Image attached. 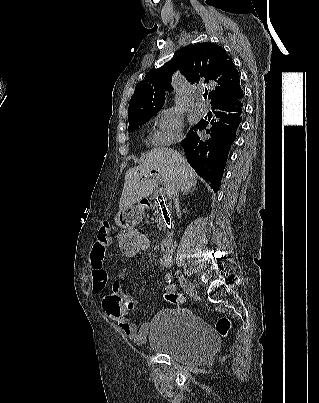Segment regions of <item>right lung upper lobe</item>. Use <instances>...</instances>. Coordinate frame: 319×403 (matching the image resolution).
<instances>
[{"mask_svg":"<svg viewBox=\"0 0 319 403\" xmlns=\"http://www.w3.org/2000/svg\"><path fill=\"white\" fill-rule=\"evenodd\" d=\"M177 69L191 84L214 86L209 92L211 105L242 93L239 73L226 51L213 43H200L145 76L130 99L129 122L162 108L165 90L172 91L171 76Z\"/></svg>","mask_w":319,"mask_h":403,"instance_id":"obj_1","label":"right lung upper lobe"}]
</instances>
